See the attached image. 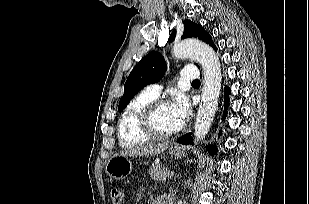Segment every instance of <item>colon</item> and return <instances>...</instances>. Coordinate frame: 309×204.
I'll return each instance as SVG.
<instances>
[{
	"label": "colon",
	"mask_w": 309,
	"mask_h": 204,
	"mask_svg": "<svg viewBox=\"0 0 309 204\" xmlns=\"http://www.w3.org/2000/svg\"><path fill=\"white\" fill-rule=\"evenodd\" d=\"M111 199L113 204H122L123 192L120 189H112Z\"/></svg>",
	"instance_id": "obj_1"
}]
</instances>
